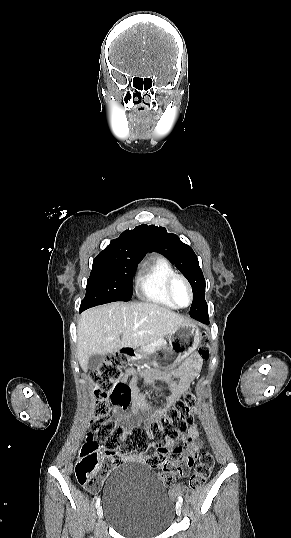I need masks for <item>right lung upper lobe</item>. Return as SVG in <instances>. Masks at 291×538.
<instances>
[{"mask_svg":"<svg viewBox=\"0 0 291 538\" xmlns=\"http://www.w3.org/2000/svg\"><path fill=\"white\" fill-rule=\"evenodd\" d=\"M151 250L149 228L147 225H140L133 230L124 231L119 238L112 240L111 244L98 256L142 259Z\"/></svg>","mask_w":291,"mask_h":538,"instance_id":"obj_1","label":"right lung upper lobe"}]
</instances>
